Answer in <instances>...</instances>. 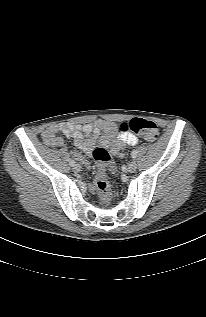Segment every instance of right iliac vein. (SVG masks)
Instances as JSON below:
<instances>
[{
	"label": "right iliac vein",
	"mask_w": 206,
	"mask_h": 317,
	"mask_svg": "<svg viewBox=\"0 0 206 317\" xmlns=\"http://www.w3.org/2000/svg\"><path fill=\"white\" fill-rule=\"evenodd\" d=\"M73 170H74V172H79V171L81 170L80 165H79V164H75V165L73 166Z\"/></svg>",
	"instance_id": "right-iliac-vein-1"
}]
</instances>
